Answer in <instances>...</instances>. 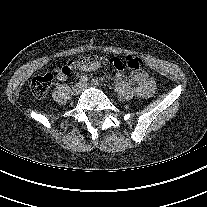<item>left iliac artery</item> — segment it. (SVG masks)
I'll return each mask as SVG.
<instances>
[{
	"instance_id": "obj_1",
	"label": "left iliac artery",
	"mask_w": 207,
	"mask_h": 207,
	"mask_svg": "<svg viewBox=\"0 0 207 207\" xmlns=\"http://www.w3.org/2000/svg\"><path fill=\"white\" fill-rule=\"evenodd\" d=\"M91 84L92 85H98L99 81L97 79H92Z\"/></svg>"
}]
</instances>
